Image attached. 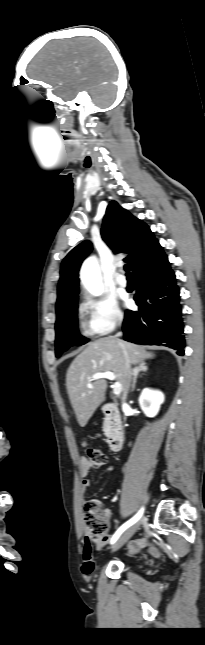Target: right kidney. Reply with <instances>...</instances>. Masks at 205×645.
Returning a JSON list of instances; mask_svg holds the SVG:
<instances>
[{"label":"right kidney","mask_w":205,"mask_h":645,"mask_svg":"<svg viewBox=\"0 0 205 645\" xmlns=\"http://www.w3.org/2000/svg\"><path fill=\"white\" fill-rule=\"evenodd\" d=\"M139 405L142 411L148 417H154L159 412L161 404L164 402V395L160 391L145 388L140 397Z\"/></svg>","instance_id":"obj_1"}]
</instances>
